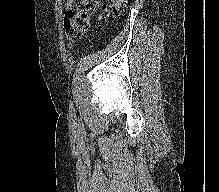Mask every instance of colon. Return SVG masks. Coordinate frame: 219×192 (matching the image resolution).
Masks as SVG:
<instances>
[{"label": "colon", "mask_w": 219, "mask_h": 192, "mask_svg": "<svg viewBox=\"0 0 219 192\" xmlns=\"http://www.w3.org/2000/svg\"><path fill=\"white\" fill-rule=\"evenodd\" d=\"M128 0H110L102 3L100 0H72L66 11L63 25L70 41L78 40L89 31L92 16L100 11L104 17H112L126 6Z\"/></svg>", "instance_id": "5ec220e1"}]
</instances>
